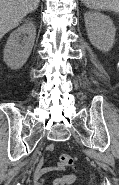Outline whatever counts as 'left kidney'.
Segmentation results:
<instances>
[{"instance_id":"obj_1","label":"left kidney","mask_w":119,"mask_h":185,"mask_svg":"<svg viewBox=\"0 0 119 185\" xmlns=\"http://www.w3.org/2000/svg\"><path fill=\"white\" fill-rule=\"evenodd\" d=\"M84 21L91 44L103 52H108L115 43L116 28L113 21L99 12H86Z\"/></svg>"}]
</instances>
